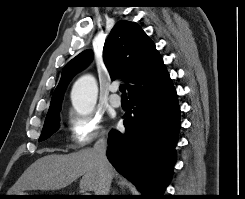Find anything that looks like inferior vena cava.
Wrapping results in <instances>:
<instances>
[{
	"label": "inferior vena cava",
	"instance_id": "obj_1",
	"mask_svg": "<svg viewBox=\"0 0 245 199\" xmlns=\"http://www.w3.org/2000/svg\"><path fill=\"white\" fill-rule=\"evenodd\" d=\"M93 150L96 154L101 173V187L96 195H109L112 173L111 165L106 157L107 138H105L104 134L95 142Z\"/></svg>",
	"mask_w": 245,
	"mask_h": 199
}]
</instances>
